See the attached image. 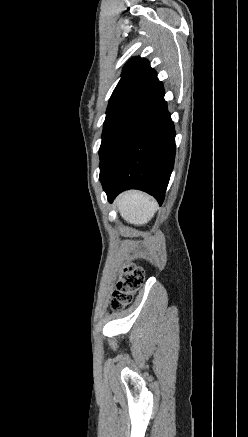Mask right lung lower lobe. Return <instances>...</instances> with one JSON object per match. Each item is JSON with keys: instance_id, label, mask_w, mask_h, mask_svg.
I'll return each instance as SVG.
<instances>
[{"instance_id": "right-lung-lower-lobe-1", "label": "right lung lower lobe", "mask_w": 248, "mask_h": 437, "mask_svg": "<svg viewBox=\"0 0 248 437\" xmlns=\"http://www.w3.org/2000/svg\"><path fill=\"white\" fill-rule=\"evenodd\" d=\"M158 79L137 97L100 156V181L109 202L139 189L163 203L175 159V129Z\"/></svg>"}]
</instances>
